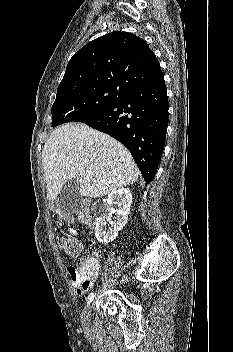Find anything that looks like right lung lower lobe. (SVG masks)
Masks as SVG:
<instances>
[{
	"label": "right lung lower lobe",
	"instance_id": "right-lung-lower-lobe-1",
	"mask_svg": "<svg viewBox=\"0 0 233 352\" xmlns=\"http://www.w3.org/2000/svg\"><path fill=\"white\" fill-rule=\"evenodd\" d=\"M168 108L167 89L162 76L79 122L107 133L124 144L147 185L153 180L162 157Z\"/></svg>",
	"mask_w": 233,
	"mask_h": 352
}]
</instances>
